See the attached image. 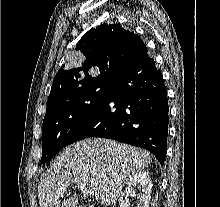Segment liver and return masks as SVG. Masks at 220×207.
<instances>
[{
    "label": "liver",
    "mask_w": 220,
    "mask_h": 207,
    "mask_svg": "<svg viewBox=\"0 0 220 207\" xmlns=\"http://www.w3.org/2000/svg\"><path fill=\"white\" fill-rule=\"evenodd\" d=\"M151 162L148 152L113 140L88 138L79 141L67 147L41 176L39 207H77L76 194L63 202L60 200L73 183L93 189L99 204L111 206L127 180Z\"/></svg>",
    "instance_id": "obj_1"
}]
</instances>
